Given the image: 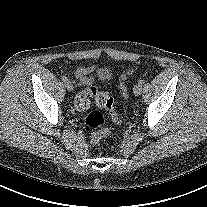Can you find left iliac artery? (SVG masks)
<instances>
[{"instance_id": "left-iliac-artery-1", "label": "left iliac artery", "mask_w": 207, "mask_h": 207, "mask_svg": "<svg viewBox=\"0 0 207 207\" xmlns=\"http://www.w3.org/2000/svg\"><path fill=\"white\" fill-rule=\"evenodd\" d=\"M145 81L143 79L139 80V84L143 85Z\"/></svg>"}]
</instances>
